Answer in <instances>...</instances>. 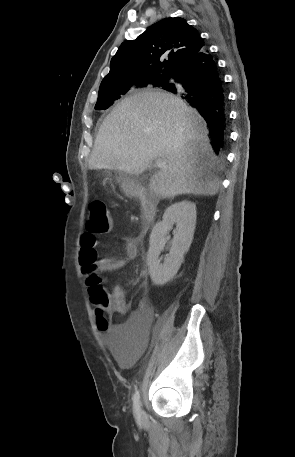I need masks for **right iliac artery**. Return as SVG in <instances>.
<instances>
[{
    "label": "right iliac artery",
    "mask_w": 295,
    "mask_h": 457,
    "mask_svg": "<svg viewBox=\"0 0 295 457\" xmlns=\"http://www.w3.org/2000/svg\"><path fill=\"white\" fill-rule=\"evenodd\" d=\"M133 402H134V412L136 415L140 416L141 415V409H140V394L139 391L136 390L135 394L133 395Z\"/></svg>",
    "instance_id": "obj_1"
}]
</instances>
